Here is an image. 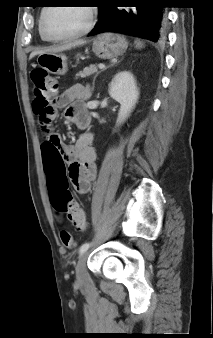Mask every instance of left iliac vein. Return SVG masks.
Instances as JSON below:
<instances>
[{"label": "left iliac vein", "mask_w": 213, "mask_h": 338, "mask_svg": "<svg viewBox=\"0 0 213 338\" xmlns=\"http://www.w3.org/2000/svg\"><path fill=\"white\" fill-rule=\"evenodd\" d=\"M87 253H83L77 264H76V278L78 281H83L85 279V275H86V260H87Z\"/></svg>", "instance_id": "left-iliac-vein-1"}]
</instances>
